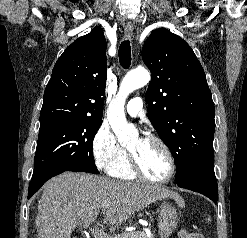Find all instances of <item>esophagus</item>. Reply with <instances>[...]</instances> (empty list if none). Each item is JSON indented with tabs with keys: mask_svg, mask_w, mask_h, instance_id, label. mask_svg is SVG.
I'll use <instances>...</instances> for the list:
<instances>
[{
	"mask_svg": "<svg viewBox=\"0 0 247 238\" xmlns=\"http://www.w3.org/2000/svg\"><path fill=\"white\" fill-rule=\"evenodd\" d=\"M134 24L130 21L125 24V34L127 38H131L133 36Z\"/></svg>",
	"mask_w": 247,
	"mask_h": 238,
	"instance_id": "1",
	"label": "esophagus"
}]
</instances>
